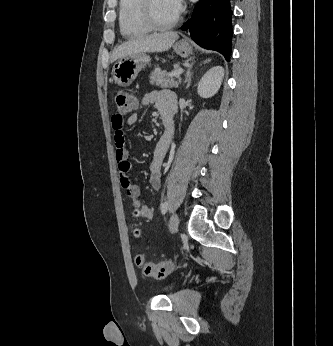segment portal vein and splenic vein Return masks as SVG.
I'll list each match as a JSON object with an SVG mask.
<instances>
[{
	"label": "portal vein and splenic vein",
	"instance_id": "portal-vein-and-splenic-vein-1",
	"mask_svg": "<svg viewBox=\"0 0 333 346\" xmlns=\"http://www.w3.org/2000/svg\"><path fill=\"white\" fill-rule=\"evenodd\" d=\"M183 69H177V70H175V71H173L169 76L172 78V77H175V76H179L180 74H182L183 73Z\"/></svg>",
	"mask_w": 333,
	"mask_h": 346
}]
</instances>
